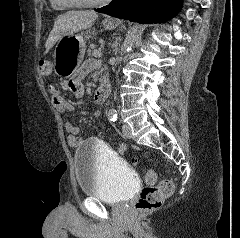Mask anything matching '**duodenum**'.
Wrapping results in <instances>:
<instances>
[{"mask_svg":"<svg viewBox=\"0 0 240 238\" xmlns=\"http://www.w3.org/2000/svg\"><path fill=\"white\" fill-rule=\"evenodd\" d=\"M110 93V83L106 77H103L101 84L95 93L94 100L97 104H102Z\"/></svg>","mask_w":240,"mask_h":238,"instance_id":"obj_1","label":"duodenum"}]
</instances>
